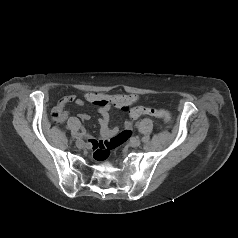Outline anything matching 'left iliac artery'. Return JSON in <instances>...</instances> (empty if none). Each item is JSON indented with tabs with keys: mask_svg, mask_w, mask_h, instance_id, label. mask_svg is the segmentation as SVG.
<instances>
[{
	"mask_svg": "<svg viewBox=\"0 0 238 238\" xmlns=\"http://www.w3.org/2000/svg\"><path fill=\"white\" fill-rule=\"evenodd\" d=\"M150 139H151L150 136L147 135V136L142 138V141H147L148 142V141H150Z\"/></svg>",
	"mask_w": 238,
	"mask_h": 238,
	"instance_id": "44dca946",
	"label": "left iliac artery"
}]
</instances>
